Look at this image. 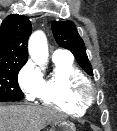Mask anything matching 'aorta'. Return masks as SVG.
Masks as SVG:
<instances>
[{"mask_svg": "<svg viewBox=\"0 0 117 131\" xmlns=\"http://www.w3.org/2000/svg\"><path fill=\"white\" fill-rule=\"evenodd\" d=\"M28 51L31 59L39 66L46 64L48 60V44L44 32L35 31L29 38Z\"/></svg>", "mask_w": 117, "mask_h": 131, "instance_id": "1", "label": "aorta"}]
</instances>
